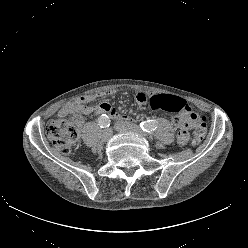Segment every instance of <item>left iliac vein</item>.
I'll return each instance as SVG.
<instances>
[{
	"label": "left iliac vein",
	"instance_id": "4c4485c4",
	"mask_svg": "<svg viewBox=\"0 0 248 248\" xmlns=\"http://www.w3.org/2000/svg\"><path fill=\"white\" fill-rule=\"evenodd\" d=\"M114 128L118 132H132V133L138 134L140 136H143L147 139H150V137H151L149 134L144 133L141 129H139L135 126H132L131 124H129L127 122H122V121L116 122L114 125Z\"/></svg>",
	"mask_w": 248,
	"mask_h": 248
}]
</instances>
